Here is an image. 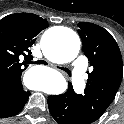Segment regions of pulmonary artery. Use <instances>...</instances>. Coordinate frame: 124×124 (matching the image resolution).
Listing matches in <instances>:
<instances>
[{"label":"pulmonary artery","mask_w":124,"mask_h":124,"mask_svg":"<svg viewBox=\"0 0 124 124\" xmlns=\"http://www.w3.org/2000/svg\"><path fill=\"white\" fill-rule=\"evenodd\" d=\"M88 60L85 56L78 57L72 66V83L76 92L83 91L85 87V71Z\"/></svg>","instance_id":"obj_1"}]
</instances>
